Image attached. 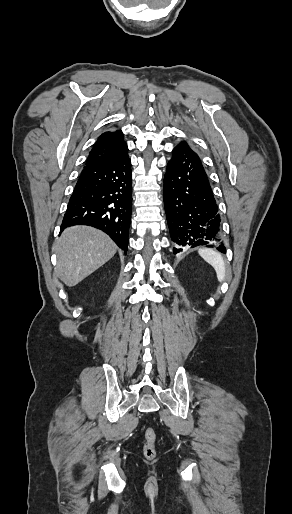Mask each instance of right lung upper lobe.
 <instances>
[{
    "label": "right lung upper lobe",
    "mask_w": 292,
    "mask_h": 514,
    "mask_svg": "<svg viewBox=\"0 0 292 514\" xmlns=\"http://www.w3.org/2000/svg\"><path fill=\"white\" fill-rule=\"evenodd\" d=\"M128 147L121 130L102 133L86 161V165H102L125 156Z\"/></svg>",
    "instance_id": "right-lung-upper-lobe-1"
}]
</instances>
